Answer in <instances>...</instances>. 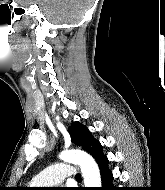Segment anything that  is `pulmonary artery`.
Returning <instances> with one entry per match:
<instances>
[{
	"label": "pulmonary artery",
	"instance_id": "1",
	"mask_svg": "<svg viewBox=\"0 0 165 190\" xmlns=\"http://www.w3.org/2000/svg\"><path fill=\"white\" fill-rule=\"evenodd\" d=\"M76 175L75 167L70 163L60 162L55 163L40 173L32 180L35 185L49 186L60 183L66 178H72Z\"/></svg>",
	"mask_w": 165,
	"mask_h": 190
}]
</instances>
